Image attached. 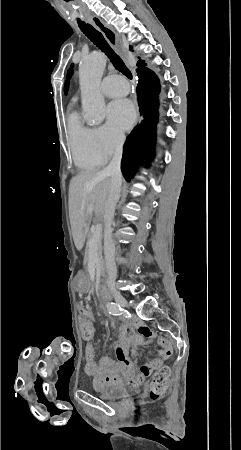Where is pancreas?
Returning a JSON list of instances; mask_svg holds the SVG:
<instances>
[{
	"label": "pancreas",
	"instance_id": "cf45deb5",
	"mask_svg": "<svg viewBox=\"0 0 241 450\" xmlns=\"http://www.w3.org/2000/svg\"><path fill=\"white\" fill-rule=\"evenodd\" d=\"M89 238H92V234H88ZM96 246H97V256H98V260H99V264L101 266V270H102V274L104 272V260L102 258V238H99V240H96L95 242ZM104 276V274H103Z\"/></svg>",
	"mask_w": 241,
	"mask_h": 450
}]
</instances>
